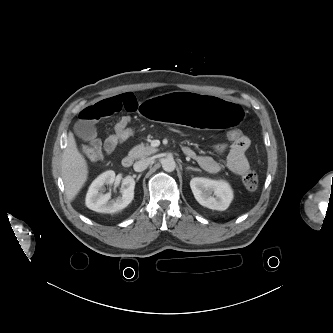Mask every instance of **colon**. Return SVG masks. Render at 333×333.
<instances>
[{
	"mask_svg": "<svg viewBox=\"0 0 333 333\" xmlns=\"http://www.w3.org/2000/svg\"><path fill=\"white\" fill-rule=\"evenodd\" d=\"M115 132L119 142H125L135 136L136 129L127 124L117 128ZM243 136V133L239 129L232 128L227 131V138L232 142L241 139ZM83 154L89 161L92 162L99 161L103 158L102 151L92 148L83 149ZM242 181L243 185L248 190H255L259 184L258 175L254 169L248 170L244 174Z\"/></svg>",
	"mask_w": 333,
	"mask_h": 333,
	"instance_id": "5ec220e1",
	"label": "colon"
}]
</instances>
